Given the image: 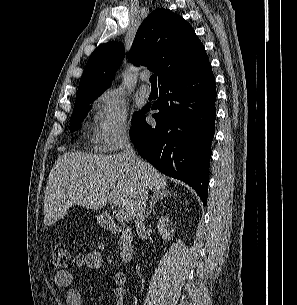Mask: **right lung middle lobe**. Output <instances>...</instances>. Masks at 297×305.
Here are the masks:
<instances>
[{"instance_id": "right-lung-middle-lobe-1", "label": "right lung middle lobe", "mask_w": 297, "mask_h": 305, "mask_svg": "<svg viewBox=\"0 0 297 305\" xmlns=\"http://www.w3.org/2000/svg\"><path fill=\"white\" fill-rule=\"evenodd\" d=\"M98 96L95 97H88L79 101H75L73 114L71 116L70 120V131L74 132L81 128V121L85 118L87 115V110L91 108L89 106ZM142 110L140 112H135V115L133 116V119L131 123L133 124L139 115L141 114Z\"/></svg>"}]
</instances>
